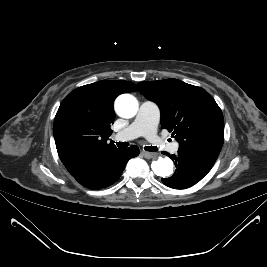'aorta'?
<instances>
[{
  "label": "aorta",
  "instance_id": "1",
  "mask_svg": "<svg viewBox=\"0 0 267 267\" xmlns=\"http://www.w3.org/2000/svg\"><path fill=\"white\" fill-rule=\"evenodd\" d=\"M139 104L137 99L131 94H122L115 101V111L122 118H132L137 114ZM151 168L155 175L168 177L173 172V162L169 158L159 157L153 161Z\"/></svg>",
  "mask_w": 267,
  "mask_h": 267
}]
</instances>
